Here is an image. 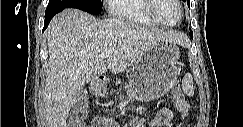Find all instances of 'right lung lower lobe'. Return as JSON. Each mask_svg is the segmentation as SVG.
Listing matches in <instances>:
<instances>
[{
  "mask_svg": "<svg viewBox=\"0 0 243 127\" xmlns=\"http://www.w3.org/2000/svg\"><path fill=\"white\" fill-rule=\"evenodd\" d=\"M58 12H53V13H45V24H44V29L45 30L50 23L51 19L56 15Z\"/></svg>",
  "mask_w": 243,
  "mask_h": 127,
  "instance_id": "98d812e1",
  "label": "right lung lower lobe"
}]
</instances>
